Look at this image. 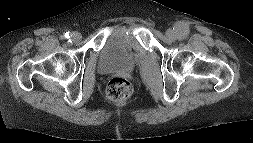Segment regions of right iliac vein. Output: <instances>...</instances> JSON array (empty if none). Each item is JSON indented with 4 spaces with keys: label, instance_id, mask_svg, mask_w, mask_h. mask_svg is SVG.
<instances>
[{
    "label": "right iliac vein",
    "instance_id": "obj_1",
    "mask_svg": "<svg viewBox=\"0 0 253 143\" xmlns=\"http://www.w3.org/2000/svg\"><path fill=\"white\" fill-rule=\"evenodd\" d=\"M73 41L79 42L82 38L81 34L79 32H73L71 35Z\"/></svg>",
    "mask_w": 253,
    "mask_h": 143
}]
</instances>
